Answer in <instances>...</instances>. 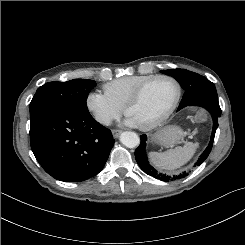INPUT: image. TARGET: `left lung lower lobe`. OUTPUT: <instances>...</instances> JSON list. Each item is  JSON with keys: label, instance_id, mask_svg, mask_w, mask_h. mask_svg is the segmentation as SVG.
Instances as JSON below:
<instances>
[{"label": "left lung lower lobe", "instance_id": "1", "mask_svg": "<svg viewBox=\"0 0 245 245\" xmlns=\"http://www.w3.org/2000/svg\"><path fill=\"white\" fill-rule=\"evenodd\" d=\"M192 105L204 107L205 109H207L211 113L212 118H213V130H212L211 140L209 142L208 147L204 150V152L201 154L199 159L194 164V167H196V166L201 165L204 162V160L208 157V155L212 149L215 132H216V129L218 128V118L221 116V109H220L218 101H201V102H196ZM140 139H141L140 145L135 150V158H136V161H137L139 167L146 174L151 175V176H153L157 179H160L162 181L181 179V178H184L185 176L188 175V171H184L180 174H175V175H168V174H164V173H160V172L156 171L149 164L148 159H147V154H146L147 136L145 134L141 135Z\"/></svg>", "mask_w": 245, "mask_h": 245}]
</instances>
